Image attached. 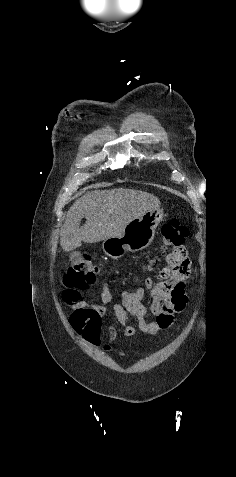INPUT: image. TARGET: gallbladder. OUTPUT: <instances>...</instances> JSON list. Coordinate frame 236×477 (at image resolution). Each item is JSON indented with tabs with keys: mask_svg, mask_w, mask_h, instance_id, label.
Here are the masks:
<instances>
[{
	"mask_svg": "<svg viewBox=\"0 0 236 477\" xmlns=\"http://www.w3.org/2000/svg\"><path fill=\"white\" fill-rule=\"evenodd\" d=\"M71 260H72L73 262H79V261H81V256H80V254H78V253H73V254H71Z\"/></svg>",
	"mask_w": 236,
	"mask_h": 477,
	"instance_id": "1",
	"label": "gallbladder"
}]
</instances>
